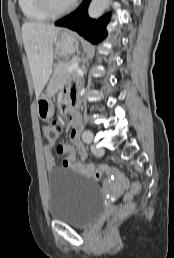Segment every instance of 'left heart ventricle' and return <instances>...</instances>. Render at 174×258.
Here are the masks:
<instances>
[{
    "label": "left heart ventricle",
    "instance_id": "left-heart-ventricle-1",
    "mask_svg": "<svg viewBox=\"0 0 174 258\" xmlns=\"http://www.w3.org/2000/svg\"><path fill=\"white\" fill-rule=\"evenodd\" d=\"M53 2L56 7L62 8V7L67 6L72 1L71 0H53Z\"/></svg>",
    "mask_w": 174,
    "mask_h": 258
}]
</instances>
